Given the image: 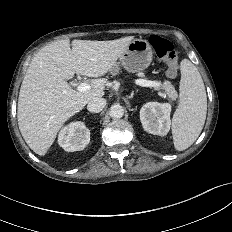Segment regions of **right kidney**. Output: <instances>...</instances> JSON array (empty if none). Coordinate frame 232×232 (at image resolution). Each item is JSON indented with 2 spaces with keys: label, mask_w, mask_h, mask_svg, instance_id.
<instances>
[{
  "label": "right kidney",
  "mask_w": 232,
  "mask_h": 232,
  "mask_svg": "<svg viewBox=\"0 0 232 232\" xmlns=\"http://www.w3.org/2000/svg\"><path fill=\"white\" fill-rule=\"evenodd\" d=\"M90 142V131L83 122H73L63 127L58 144L68 152L83 150Z\"/></svg>",
  "instance_id": "right-kidney-1"
}]
</instances>
